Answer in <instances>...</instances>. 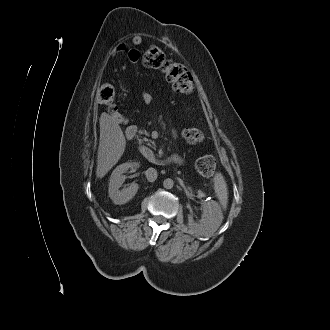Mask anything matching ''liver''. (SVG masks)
Wrapping results in <instances>:
<instances>
[{
    "label": "liver",
    "instance_id": "1",
    "mask_svg": "<svg viewBox=\"0 0 330 330\" xmlns=\"http://www.w3.org/2000/svg\"><path fill=\"white\" fill-rule=\"evenodd\" d=\"M100 141L97 154V178L104 177L124 153L126 140L119 124L103 113L99 119Z\"/></svg>",
    "mask_w": 330,
    "mask_h": 330
}]
</instances>
